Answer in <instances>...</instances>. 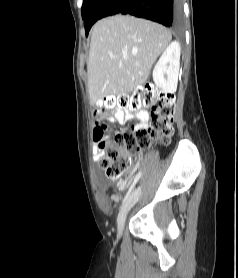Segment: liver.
Listing matches in <instances>:
<instances>
[{"mask_svg":"<svg viewBox=\"0 0 238 278\" xmlns=\"http://www.w3.org/2000/svg\"><path fill=\"white\" fill-rule=\"evenodd\" d=\"M171 39L162 25L133 16L98 21L92 29L87 63L91 104L105 96L129 94L144 84Z\"/></svg>","mask_w":238,"mask_h":278,"instance_id":"1","label":"liver"}]
</instances>
